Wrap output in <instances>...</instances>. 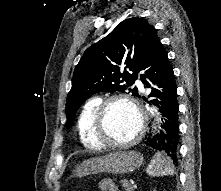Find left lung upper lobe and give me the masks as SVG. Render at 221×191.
Here are the masks:
<instances>
[{
	"label": "left lung upper lobe",
	"instance_id": "left-lung-upper-lobe-1",
	"mask_svg": "<svg viewBox=\"0 0 221 191\" xmlns=\"http://www.w3.org/2000/svg\"><path fill=\"white\" fill-rule=\"evenodd\" d=\"M156 38V30L145 19L132 17L89 47L74 70L66 102V127L83 102L95 93L129 91L138 96L137 88L131 86Z\"/></svg>",
	"mask_w": 221,
	"mask_h": 191
}]
</instances>
